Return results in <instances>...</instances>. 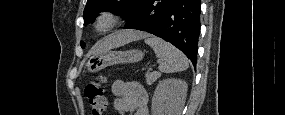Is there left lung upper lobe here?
Masks as SVG:
<instances>
[{
    "label": "left lung upper lobe",
    "mask_w": 285,
    "mask_h": 115,
    "mask_svg": "<svg viewBox=\"0 0 285 115\" xmlns=\"http://www.w3.org/2000/svg\"><path fill=\"white\" fill-rule=\"evenodd\" d=\"M139 2L140 0H87L83 13L84 25L93 23L96 15L105 10L126 18ZM81 46L84 48L85 44L81 42Z\"/></svg>",
    "instance_id": "5c2ea615"
}]
</instances>
